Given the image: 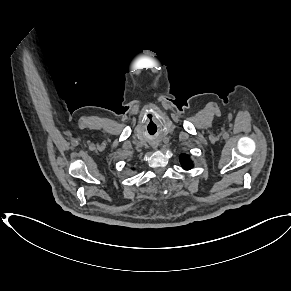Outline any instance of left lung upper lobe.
Listing matches in <instances>:
<instances>
[{"label": "left lung upper lobe", "mask_w": 291, "mask_h": 291, "mask_svg": "<svg viewBox=\"0 0 291 291\" xmlns=\"http://www.w3.org/2000/svg\"><path fill=\"white\" fill-rule=\"evenodd\" d=\"M180 162L185 170H190L193 166L191 160L189 159V156L186 154H182L180 156Z\"/></svg>", "instance_id": "left-lung-upper-lobe-1"}]
</instances>
